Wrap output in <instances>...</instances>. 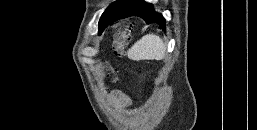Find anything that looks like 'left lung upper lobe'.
<instances>
[{
	"mask_svg": "<svg viewBox=\"0 0 257 130\" xmlns=\"http://www.w3.org/2000/svg\"><path fill=\"white\" fill-rule=\"evenodd\" d=\"M130 0H117L116 2L112 3L106 11L102 14L100 21H99V29L105 27L106 25V19L112 14V12L119 7H122Z\"/></svg>",
	"mask_w": 257,
	"mask_h": 130,
	"instance_id": "5c2ea615",
	"label": "left lung upper lobe"
}]
</instances>
